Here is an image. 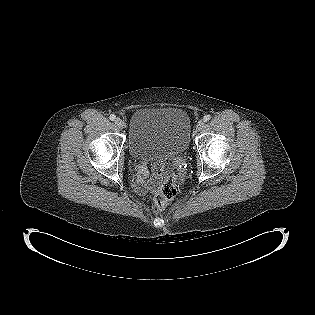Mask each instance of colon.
Returning <instances> with one entry per match:
<instances>
[{
    "label": "colon",
    "instance_id": "1",
    "mask_svg": "<svg viewBox=\"0 0 315 315\" xmlns=\"http://www.w3.org/2000/svg\"><path fill=\"white\" fill-rule=\"evenodd\" d=\"M178 180L174 174H166L157 188L154 196L153 209L155 213L162 212L169 201L176 195Z\"/></svg>",
    "mask_w": 315,
    "mask_h": 315
}]
</instances>
